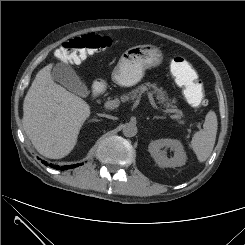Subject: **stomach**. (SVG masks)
I'll return each instance as SVG.
<instances>
[{"mask_svg": "<svg viewBox=\"0 0 245 245\" xmlns=\"http://www.w3.org/2000/svg\"><path fill=\"white\" fill-rule=\"evenodd\" d=\"M162 60V52L151 44L131 47L121 55L112 80L120 86H133L141 81L146 69L159 66Z\"/></svg>", "mask_w": 245, "mask_h": 245, "instance_id": "1", "label": "stomach"}]
</instances>
